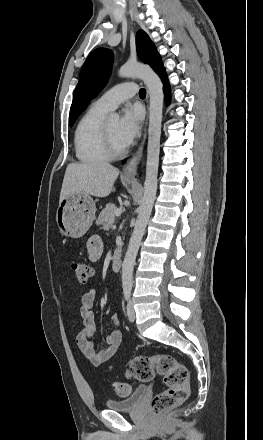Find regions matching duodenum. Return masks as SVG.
Listing matches in <instances>:
<instances>
[{
	"mask_svg": "<svg viewBox=\"0 0 263 440\" xmlns=\"http://www.w3.org/2000/svg\"><path fill=\"white\" fill-rule=\"evenodd\" d=\"M122 265V257L119 253H115L111 260V266L114 271H119Z\"/></svg>",
	"mask_w": 263,
	"mask_h": 440,
	"instance_id": "410a0bca",
	"label": "duodenum"
}]
</instances>
